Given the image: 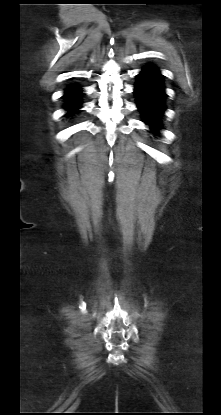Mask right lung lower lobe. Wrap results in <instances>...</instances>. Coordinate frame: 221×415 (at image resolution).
<instances>
[{
	"label": "right lung lower lobe",
	"instance_id": "obj_1",
	"mask_svg": "<svg viewBox=\"0 0 221 415\" xmlns=\"http://www.w3.org/2000/svg\"><path fill=\"white\" fill-rule=\"evenodd\" d=\"M82 96L81 88L77 85L69 86L65 94L63 96L65 100V108L68 111V115H73L77 112V109L79 108L80 97Z\"/></svg>",
	"mask_w": 221,
	"mask_h": 415
}]
</instances>
